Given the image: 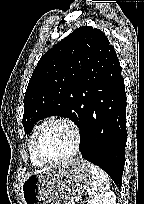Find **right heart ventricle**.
<instances>
[{"instance_id":"1","label":"right heart ventricle","mask_w":144,"mask_h":204,"mask_svg":"<svg viewBox=\"0 0 144 204\" xmlns=\"http://www.w3.org/2000/svg\"><path fill=\"white\" fill-rule=\"evenodd\" d=\"M40 127L41 125L37 126L34 129L28 141V152H29L30 161L36 167H42L44 165V163L39 161L34 154V140H35L36 133Z\"/></svg>"}]
</instances>
